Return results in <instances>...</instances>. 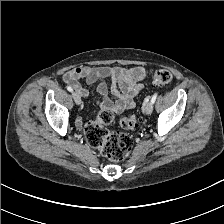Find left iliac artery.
<instances>
[{"label": "left iliac artery", "instance_id": "obj_1", "mask_svg": "<svg viewBox=\"0 0 224 224\" xmlns=\"http://www.w3.org/2000/svg\"><path fill=\"white\" fill-rule=\"evenodd\" d=\"M157 93H155L153 96H152V98H151V102L152 103H154L155 102V100H156V98H157Z\"/></svg>", "mask_w": 224, "mask_h": 224}]
</instances>
